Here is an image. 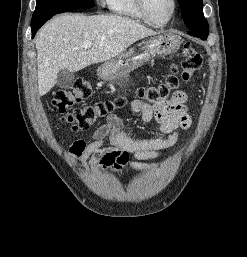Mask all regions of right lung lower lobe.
I'll use <instances>...</instances> for the list:
<instances>
[{"label": "right lung lower lobe", "mask_w": 247, "mask_h": 257, "mask_svg": "<svg viewBox=\"0 0 247 257\" xmlns=\"http://www.w3.org/2000/svg\"><path fill=\"white\" fill-rule=\"evenodd\" d=\"M54 15H50L47 17H44L38 21L35 22H31V29H32V38H34L36 32L38 31L39 28H41V26L47 21L49 20L51 17H53Z\"/></svg>", "instance_id": "1"}]
</instances>
